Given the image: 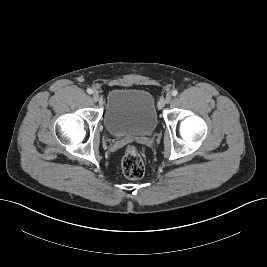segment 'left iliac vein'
<instances>
[{
  "label": "left iliac vein",
  "mask_w": 267,
  "mask_h": 267,
  "mask_svg": "<svg viewBox=\"0 0 267 267\" xmlns=\"http://www.w3.org/2000/svg\"><path fill=\"white\" fill-rule=\"evenodd\" d=\"M172 100V95L171 94H167L166 97H165V103L168 104L170 103Z\"/></svg>",
  "instance_id": "left-iliac-vein-1"
}]
</instances>
